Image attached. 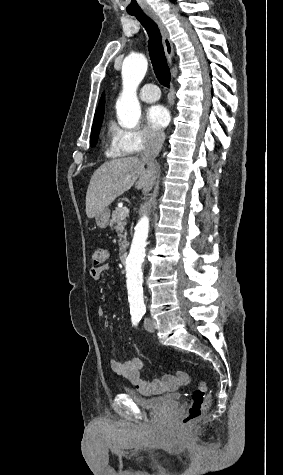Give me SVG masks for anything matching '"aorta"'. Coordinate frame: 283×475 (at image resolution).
I'll return each mask as SVG.
<instances>
[{
    "label": "aorta",
    "instance_id": "762f6f07",
    "mask_svg": "<svg viewBox=\"0 0 283 475\" xmlns=\"http://www.w3.org/2000/svg\"><path fill=\"white\" fill-rule=\"evenodd\" d=\"M148 62L143 54L132 53L122 65L123 90L117 101L116 110L120 124L134 128L140 119L141 108L137 88L147 71ZM156 218L149 208H143L133 228V239L126 259V284L131 308H144L143 268L146 249L155 230Z\"/></svg>",
    "mask_w": 283,
    "mask_h": 475
}]
</instances>
